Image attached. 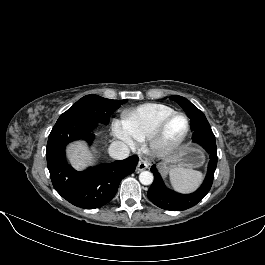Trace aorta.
Segmentation results:
<instances>
[{"mask_svg": "<svg viewBox=\"0 0 265 265\" xmlns=\"http://www.w3.org/2000/svg\"><path fill=\"white\" fill-rule=\"evenodd\" d=\"M154 180V176L150 171H142L139 175V181L143 185H150Z\"/></svg>", "mask_w": 265, "mask_h": 265, "instance_id": "762f6f07", "label": "aorta"}]
</instances>
